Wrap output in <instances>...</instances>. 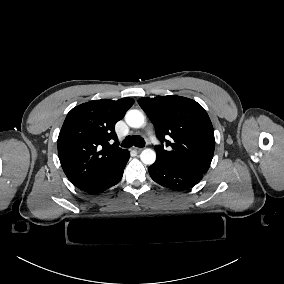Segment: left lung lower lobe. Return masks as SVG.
Here are the masks:
<instances>
[{
  "label": "left lung lower lobe",
  "mask_w": 284,
  "mask_h": 284,
  "mask_svg": "<svg viewBox=\"0 0 284 284\" xmlns=\"http://www.w3.org/2000/svg\"><path fill=\"white\" fill-rule=\"evenodd\" d=\"M148 170L151 178L155 182L178 191L193 187L203 178L202 173L179 169L159 160H156Z\"/></svg>",
  "instance_id": "obj_1"
}]
</instances>
